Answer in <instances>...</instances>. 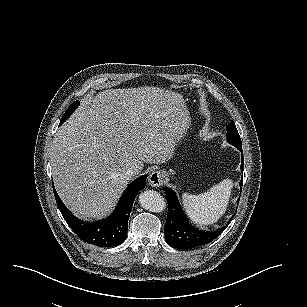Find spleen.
Here are the masks:
<instances>
[{"mask_svg":"<svg viewBox=\"0 0 307 307\" xmlns=\"http://www.w3.org/2000/svg\"><path fill=\"white\" fill-rule=\"evenodd\" d=\"M233 181L224 179L203 194L182 195L183 207L187 216L198 226L216 223L226 212Z\"/></svg>","mask_w":307,"mask_h":307,"instance_id":"1","label":"spleen"}]
</instances>
